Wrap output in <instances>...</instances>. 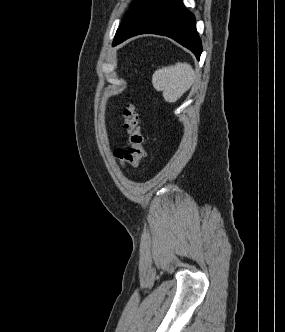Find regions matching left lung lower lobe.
<instances>
[{"instance_id":"left-lung-lower-lobe-1","label":"left lung lower lobe","mask_w":285,"mask_h":332,"mask_svg":"<svg viewBox=\"0 0 285 332\" xmlns=\"http://www.w3.org/2000/svg\"><path fill=\"white\" fill-rule=\"evenodd\" d=\"M170 37L191 50L199 60L201 40L196 31L194 15L181 0H151L128 27L113 41V46L139 34Z\"/></svg>"}]
</instances>
